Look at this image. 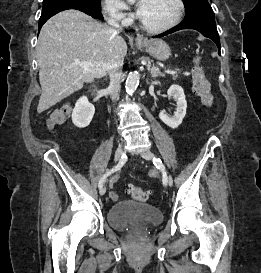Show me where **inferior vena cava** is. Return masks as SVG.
<instances>
[{
    "instance_id": "1",
    "label": "inferior vena cava",
    "mask_w": 261,
    "mask_h": 273,
    "mask_svg": "<svg viewBox=\"0 0 261 273\" xmlns=\"http://www.w3.org/2000/svg\"><path fill=\"white\" fill-rule=\"evenodd\" d=\"M108 24L121 30L119 23L114 17L108 19ZM122 66L123 60H116L108 68L110 76L109 92L113 101L119 98V91L122 82Z\"/></svg>"
}]
</instances>
